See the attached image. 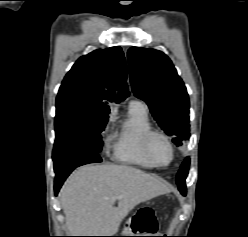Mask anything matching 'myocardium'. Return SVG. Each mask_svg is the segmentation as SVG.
Wrapping results in <instances>:
<instances>
[{"label": "myocardium", "instance_id": "1", "mask_svg": "<svg viewBox=\"0 0 248 237\" xmlns=\"http://www.w3.org/2000/svg\"><path fill=\"white\" fill-rule=\"evenodd\" d=\"M155 137H161L162 139H164L170 148L171 156H170V160L166 164H159L152 157L151 142H152L153 138H155ZM142 145H143V151H144L145 156L147 157V159L151 162V164L154 167L165 168V167H168L173 162L174 157H175V147H174L170 137L167 134H165L164 132L158 131V130H151V131L147 132L145 134V136L143 137Z\"/></svg>", "mask_w": 248, "mask_h": 237}]
</instances>
